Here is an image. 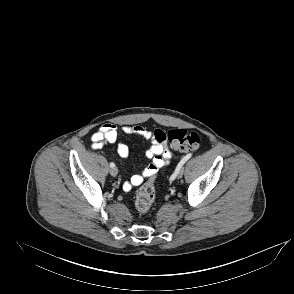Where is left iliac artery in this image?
<instances>
[{"instance_id": "left-iliac-artery-1", "label": "left iliac artery", "mask_w": 294, "mask_h": 294, "mask_svg": "<svg viewBox=\"0 0 294 294\" xmlns=\"http://www.w3.org/2000/svg\"><path fill=\"white\" fill-rule=\"evenodd\" d=\"M192 157V153L187 154L186 156H184L182 158V160L178 163L175 172L172 174V176L170 177V180H174L177 173L183 168L184 164L186 163L187 160H189Z\"/></svg>"}]
</instances>
